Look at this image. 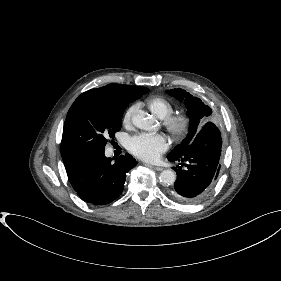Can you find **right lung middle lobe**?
Listing matches in <instances>:
<instances>
[{
	"instance_id": "1",
	"label": "right lung middle lobe",
	"mask_w": 281,
	"mask_h": 281,
	"mask_svg": "<svg viewBox=\"0 0 281 281\" xmlns=\"http://www.w3.org/2000/svg\"><path fill=\"white\" fill-rule=\"evenodd\" d=\"M141 92L135 99L147 93ZM127 102L110 101L86 91L73 103L67 114L61 142V155L65 167L81 157L104 151L107 137L121 128V119Z\"/></svg>"
}]
</instances>
